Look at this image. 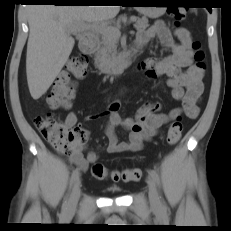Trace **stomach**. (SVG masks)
Listing matches in <instances>:
<instances>
[{
	"instance_id": "1",
	"label": "stomach",
	"mask_w": 231,
	"mask_h": 231,
	"mask_svg": "<svg viewBox=\"0 0 231 231\" xmlns=\"http://www.w3.org/2000/svg\"><path fill=\"white\" fill-rule=\"evenodd\" d=\"M161 1H145L146 4H159ZM153 5H146L144 7H137V11L145 16L156 18L161 16L166 7H152Z\"/></svg>"
}]
</instances>
